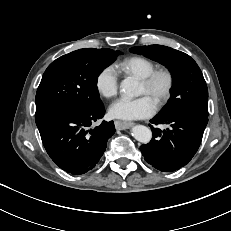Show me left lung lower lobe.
<instances>
[{
	"instance_id": "obj_1",
	"label": "left lung lower lobe",
	"mask_w": 231,
	"mask_h": 231,
	"mask_svg": "<svg viewBox=\"0 0 231 231\" xmlns=\"http://www.w3.org/2000/svg\"><path fill=\"white\" fill-rule=\"evenodd\" d=\"M151 123L167 124L164 131L150 125L154 138L140 147L145 160L163 172H172L185 166L197 152L208 117L190 112L157 115Z\"/></svg>"
}]
</instances>
